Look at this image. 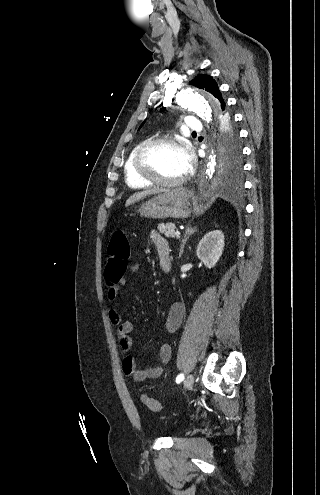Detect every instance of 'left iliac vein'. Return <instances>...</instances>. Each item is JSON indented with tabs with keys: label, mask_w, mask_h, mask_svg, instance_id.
Masks as SVG:
<instances>
[{
	"label": "left iliac vein",
	"mask_w": 320,
	"mask_h": 495,
	"mask_svg": "<svg viewBox=\"0 0 320 495\" xmlns=\"http://www.w3.org/2000/svg\"><path fill=\"white\" fill-rule=\"evenodd\" d=\"M193 384H194V375H193V374H189V375L186 377V379H185L184 388H185L186 390H190V389H192Z\"/></svg>",
	"instance_id": "1"
}]
</instances>
